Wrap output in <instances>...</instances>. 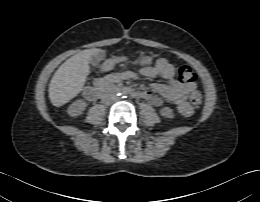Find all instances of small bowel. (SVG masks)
I'll return each mask as SVG.
<instances>
[{"instance_id": "obj_1", "label": "small bowel", "mask_w": 260, "mask_h": 202, "mask_svg": "<svg viewBox=\"0 0 260 202\" xmlns=\"http://www.w3.org/2000/svg\"><path fill=\"white\" fill-rule=\"evenodd\" d=\"M124 57H113L106 60L102 66V72L111 71L116 65L125 61ZM141 74L149 77H161L165 83H154L150 89H145L137 92V98L144 99L155 106H161L166 100L174 105L177 111L184 117H189L193 113V108L187 102V95L195 90L196 83H182L175 76L174 65L166 58L157 60L154 66L143 67L140 70ZM137 75L133 72L112 73L103 78L96 80V84L101 81L116 83L126 79H136Z\"/></svg>"}]
</instances>
